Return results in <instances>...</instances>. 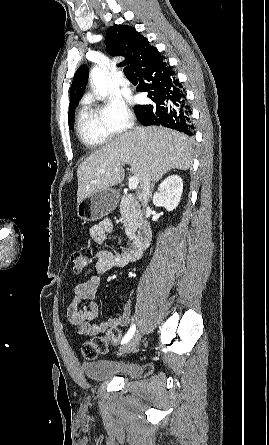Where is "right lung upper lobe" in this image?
<instances>
[{"instance_id":"1","label":"right lung upper lobe","mask_w":269,"mask_h":445,"mask_svg":"<svg viewBox=\"0 0 269 445\" xmlns=\"http://www.w3.org/2000/svg\"><path fill=\"white\" fill-rule=\"evenodd\" d=\"M106 47L113 56H124L119 66L130 64L136 72L142 66L159 57L157 49L149 45L148 40L134 27L114 25L107 31ZM88 68L82 65L73 78L70 92V107L77 104L87 84Z\"/></svg>"}]
</instances>
